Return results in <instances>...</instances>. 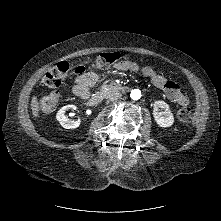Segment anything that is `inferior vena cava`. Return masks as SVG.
<instances>
[{"label":"inferior vena cava","mask_w":221,"mask_h":221,"mask_svg":"<svg viewBox=\"0 0 221 221\" xmlns=\"http://www.w3.org/2000/svg\"><path fill=\"white\" fill-rule=\"evenodd\" d=\"M122 94L118 91H113L111 93H109V95L107 96L108 99L110 100H117L119 98H121Z\"/></svg>","instance_id":"602c4592"}]
</instances>
